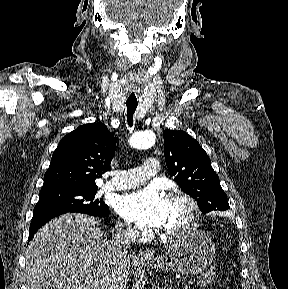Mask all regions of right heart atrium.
<instances>
[{
	"instance_id": "obj_1",
	"label": "right heart atrium",
	"mask_w": 288,
	"mask_h": 289,
	"mask_svg": "<svg viewBox=\"0 0 288 289\" xmlns=\"http://www.w3.org/2000/svg\"><path fill=\"white\" fill-rule=\"evenodd\" d=\"M119 230L120 232L125 235L126 237L130 239L137 238L140 236L143 231L135 226H132L128 223H120L119 224Z\"/></svg>"
}]
</instances>
